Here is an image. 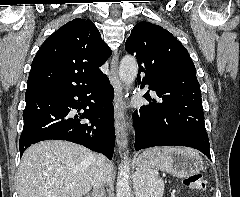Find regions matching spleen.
Here are the masks:
<instances>
[{
  "label": "spleen",
  "instance_id": "obj_1",
  "mask_svg": "<svg viewBox=\"0 0 240 197\" xmlns=\"http://www.w3.org/2000/svg\"><path fill=\"white\" fill-rule=\"evenodd\" d=\"M154 151H159L163 157H166L169 151L174 148L159 149L154 148ZM146 180V194L145 197H162L164 184L162 180L158 179V172L156 170H148L145 173Z\"/></svg>",
  "mask_w": 240,
  "mask_h": 197
}]
</instances>
